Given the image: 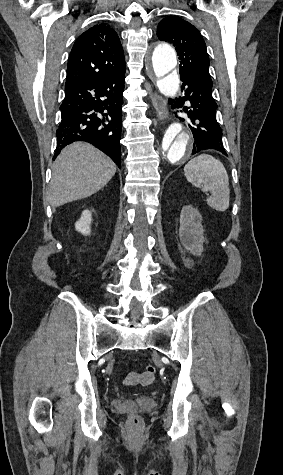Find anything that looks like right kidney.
Masks as SVG:
<instances>
[{"instance_id": "obj_1", "label": "right kidney", "mask_w": 283, "mask_h": 475, "mask_svg": "<svg viewBox=\"0 0 283 475\" xmlns=\"http://www.w3.org/2000/svg\"><path fill=\"white\" fill-rule=\"evenodd\" d=\"M92 222L91 218V212L90 210H84L81 214L80 220L76 222L75 228L77 232H80V234H84V236H88L90 234V224Z\"/></svg>"}]
</instances>
